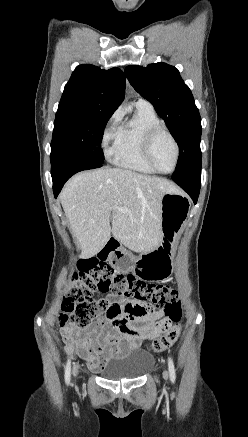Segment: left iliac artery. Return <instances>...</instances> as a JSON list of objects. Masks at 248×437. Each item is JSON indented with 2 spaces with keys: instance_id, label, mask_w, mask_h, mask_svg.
<instances>
[{
  "instance_id": "obj_1",
  "label": "left iliac artery",
  "mask_w": 248,
  "mask_h": 437,
  "mask_svg": "<svg viewBox=\"0 0 248 437\" xmlns=\"http://www.w3.org/2000/svg\"><path fill=\"white\" fill-rule=\"evenodd\" d=\"M168 367H169V373H170V380L172 383H174L175 379H176V375H175V368H174L173 360L171 357H169V359H168Z\"/></svg>"
}]
</instances>
